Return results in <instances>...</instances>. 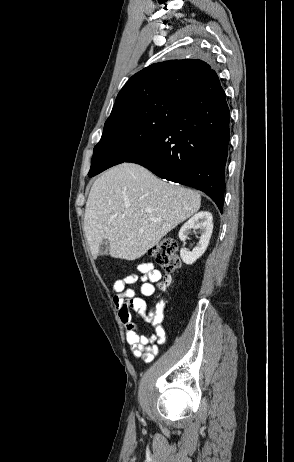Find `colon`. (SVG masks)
<instances>
[{
	"mask_svg": "<svg viewBox=\"0 0 294 462\" xmlns=\"http://www.w3.org/2000/svg\"><path fill=\"white\" fill-rule=\"evenodd\" d=\"M149 255L155 260L166 273L174 272L179 266L177 257V242L172 238H165L149 250ZM170 278L166 277L161 286L169 284Z\"/></svg>",
	"mask_w": 294,
	"mask_h": 462,
	"instance_id": "obj_1",
	"label": "colon"
}]
</instances>
